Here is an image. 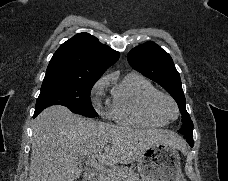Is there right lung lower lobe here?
I'll list each match as a JSON object with an SVG mask.
<instances>
[{"label": "right lung lower lobe", "mask_w": 228, "mask_h": 181, "mask_svg": "<svg viewBox=\"0 0 228 181\" xmlns=\"http://www.w3.org/2000/svg\"><path fill=\"white\" fill-rule=\"evenodd\" d=\"M38 114H39V113H34V116H33V117L35 118Z\"/></svg>", "instance_id": "1"}]
</instances>
